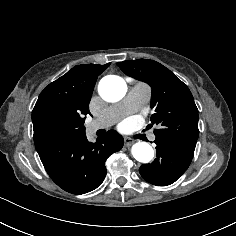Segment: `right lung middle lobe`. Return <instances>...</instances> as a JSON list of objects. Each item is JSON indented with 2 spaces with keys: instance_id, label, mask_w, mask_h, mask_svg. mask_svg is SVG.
<instances>
[{
  "instance_id": "obj_1",
  "label": "right lung middle lobe",
  "mask_w": 236,
  "mask_h": 236,
  "mask_svg": "<svg viewBox=\"0 0 236 236\" xmlns=\"http://www.w3.org/2000/svg\"><path fill=\"white\" fill-rule=\"evenodd\" d=\"M82 115L51 116L47 117L34 134L35 146L48 143L52 140L77 136L85 133V117Z\"/></svg>"
}]
</instances>
